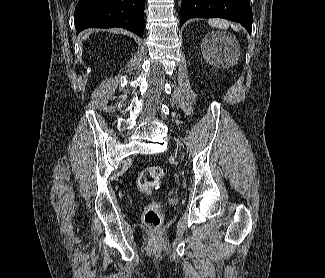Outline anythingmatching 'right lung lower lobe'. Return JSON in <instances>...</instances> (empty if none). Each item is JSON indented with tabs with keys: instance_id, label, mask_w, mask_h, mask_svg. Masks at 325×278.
Instances as JSON below:
<instances>
[{
	"instance_id": "1",
	"label": "right lung lower lobe",
	"mask_w": 325,
	"mask_h": 278,
	"mask_svg": "<svg viewBox=\"0 0 325 278\" xmlns=\"http://www.w3.org/2000/svg\"><path fill=\"white\" fill-rule=\"evenodd\" d=\"M145 0H79L75 9L77 31L121 27L143 34Z\"/></svg>"
}]
</instances>
